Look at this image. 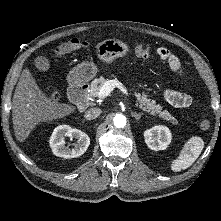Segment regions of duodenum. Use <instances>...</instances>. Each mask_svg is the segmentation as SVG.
Listing matches in <instances>:
<instances>
[{
	"mask_svg": "<svg viewBox=\"0 0 221 221\" xmlns=\"http://www.w3.org/2000/svg\"><path fill=\"white\" fill-rule=\"evenodd\" d=\"M89 86L83 81H73L69 87V97L80 110H84L88 103Z\"/></svg>",
	"mask_w": 221,
	"mask_h": 221,
	"instance_id": "duodenum-1",
	"label": "duodenum"
}]
</instances>
